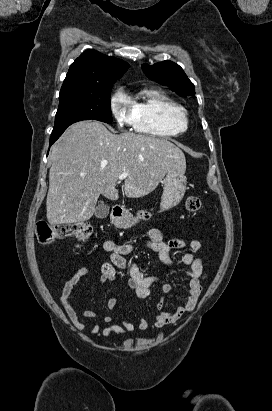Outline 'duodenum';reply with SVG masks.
Returning <instances> with one entry per match:
<instances>
[{"instance_id":"1","label":"duodenum","mask_w":272,"mask_h":411,"mask_svg":"<svg viewBox=\"0 0 272 411\" xmlns=\"http://www.w3.org/2000/svg\"><path fill=\"white\" fill-rule=\"evenodd\" d=\"M124 211H125V209H124L123 206H121V205H115V206L112 208V215H113L114 218H118V217H120V216L124 213Z\"/></svg>"}]
</instances>
